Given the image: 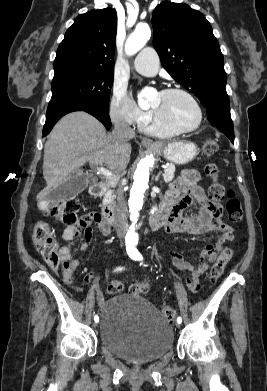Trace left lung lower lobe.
<instances>
[{"label": "left lung lower lobe", "mask_w": 267, "mask_h": 391, "mask_svg": "<svg viewBox=\"0 0 267 391\" xmlns=\"http://www.w3.org/2000/svg\"><path fill=\"white\" fill-rule=\"evenodd\" d=\"M207 117L212 126L223 132L234 143L233 122L229 103H218L206 108Z\"/></svg>", "instance_id": "0a47b994"}]
</instances>
